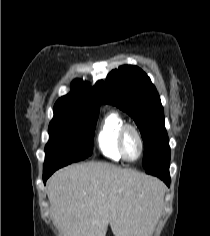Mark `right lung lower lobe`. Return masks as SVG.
Masks as SVG:
<instances>
[{"label":"right lung lower lobe","instance_id":"obj_1","mask_svg":"<svg viewBox=\"0 0 210 236\" xmlns=\"http://www.w3.org/2000/svg\"><path fill=\"white\" fill-rule=\"evenodd\" d=\"M70 163L67 162H45L43 167V181L44 184L46 183V180L51 176L53 172H55L57 169L64 167Z\"/></svg>","mask_w":210,"mask_h":236}]
</instances>
